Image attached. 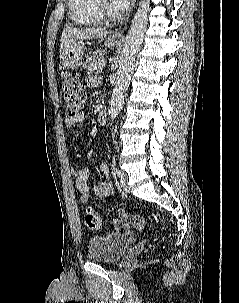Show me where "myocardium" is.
Here are the masks:
<instances>
[{
    "label": "myocardium",
    "instance_id": "obj_1",
    "mask_svg": "<svg viewBox=\"0 0 239 303\" xmlns=\"http://www.w3.org/2000/svg\"><path fill=\"white\" fill-rule=\"evenodd\" d=\"M97 9L102 17L114 20L120 17V12L110 5L107 0H95Z\"/></svg>",
    "mask_w": 239,
    "mask_h": 303
}]
</instances>
